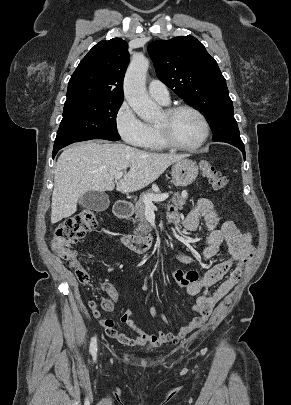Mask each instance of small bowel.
<instances>
[{
  "label": "small bowel",
  "mask_w": 291,
  "mask_h": 405,
  "mask_svg": "<svg viewBox=\"0 0 291 405\" xmlns=\"http://www.w3.org/2000/svg\"><path fill=\"white\" fill-rule=\"evenodd\" d=\"M169 218L174 223H181L187 232L195 231L200 219L203 218L208 229L207 236L203 239L202 255L205 258L214 256L222 244L228 246L231 260L219 263L210 268L201 279L186 286L190 296L198 295L197 301L192 305V310L198 314L188 325L182 327L178 332L159 331L157 334H148L141 330L134 321V313L127 310L120 318V321L132 329L135 334L127 336L119 332L114 327V322L110 319H100V312L94 301L89 302V307L95 318L100 320L106 334L117 342L133 346L139 344H152L159 346L165 343H178L191 332L201 328L207 321L214 305L221 300L240 280L243 266L253 257L254 246L252 236L249 233H242L233 222H225L219 226L220 214L215 204L206 198L196 201L194 207L184 219H180L176 210L169 211ZM177 259L183 264H190L193 258L183 251H178ZM228 277L221 283L213 294H208V288L221 281L225 275ZM107 299L103 302L105 311H112L119 299L117 289L111 285H105ZM153 317L167 322L166 316L158 311L155 304L150 307Z\"/></svg>",
  "instance_id": "1"
}]
</instances>
